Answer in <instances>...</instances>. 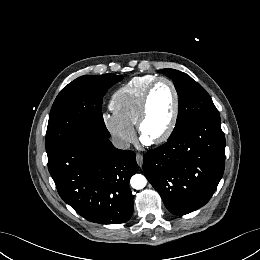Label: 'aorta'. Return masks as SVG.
Returning a JSON list of instances; mask_svg holds the SVG:
<instances>
[{"label": "aorta", "instance_id": "1", "mask_svg": "<svg viewBox=\"0 0 260 260\" xmlns=\"http://www.w3.org/2000/svg\"><path fill=\"white\" fill-rule=\"evenodd\" d=\"M130 184L132 188L136 190H140L146 186L147 179L145 176L141 174H135L131 177Z\"/></svg>", "mask_w": 260, "mask_h": 260}]
</instances>
